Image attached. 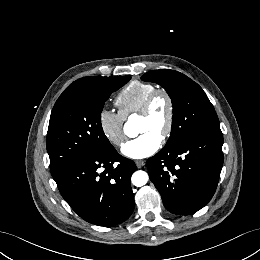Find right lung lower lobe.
Listing matches in <instances>:
<instances>
[{"label": "right lung lower lobe", "instance_id": "98d812e1", "mask_svg": "<svg viewBox=\"0 0 260 260\" xmlns=\"http://www.w3.org/2000/svg\"><path fill=\"white\" fill-rule=\"evenodd\" d=\"M135 170V163L113 148L103 155L75 158L52 176L82 219L108 227L124 222L133 212L130 179Z\"/></svg>", "mask_w": 260, "mask_h": 260}]
</instances>
